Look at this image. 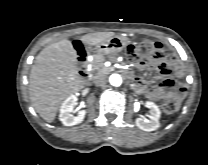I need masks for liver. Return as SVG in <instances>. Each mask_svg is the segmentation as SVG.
<instances>
[{"label": "liver", "mask_w": 208, "mask_h": 165, "mask_svg": "<svg viewBox=\"0 0 208 165\" xmlns=\"http://www.w3.org/2000/svg\"><path fill=\"white\" fill-rule=\"evenodd\" d=\"M115 36L96 32L80 36L85 48L97 46ZM77 52L69 40L46 46L35 58L29 77L30 100L36 112L48 123L54 121L61 103L84 87L77 72Z\"/></svg>", "instance_id": "obj_1"}]
</instances>
